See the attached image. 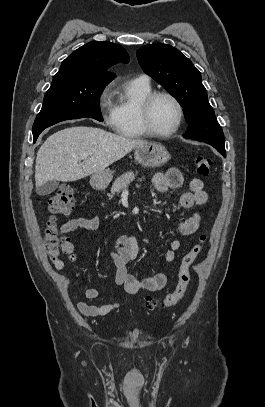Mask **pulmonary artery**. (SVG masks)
Masks as SVG:
<instances>
[{
    "label": "pulmonary artery",
    "mask_w": 265,
    "mask_h": 407,
    "mask_svg": "<svg viewBox=\"0 0 265 407\" xmlns=\"http://www.w3.org/2000/svg\"><path fill=\"white\" fill-rule=\"evenodd\" d=\"M138 78L149 82V77H148L147 75H141V76H139Z\"/></svg>",
    "instance_id": "e3ab8cb5"
}]
</instances>
